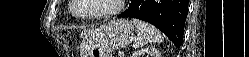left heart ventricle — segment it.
Wrapping results in <instances>:
<instances>
[{
    "mask_svg": "<svg viewBox=\"0 0 249 57\" xmlns=\"http://www.w3.org/2000/svg\"><path fill=\"white\" fill-rule=\"evenodd\" d=\"M115 5L116 0H80V5L76 11L79 15L85 16L109 11Z\"/></svg>",
    "mask_w": 249,
    "mask_h": 57,
    "instance_id": "left-heart-ventricle-1",
    "label": "left heart ventricle"
}]
</instances>
